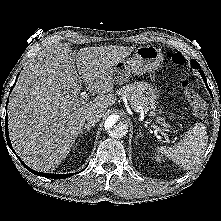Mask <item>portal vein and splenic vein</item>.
I'll list each match as a JSON object with an SVG mask.
<instances>
[{"instance_id": "18ae733b", "label": "portal vein and splenic vein", "mask_w": 221, "mask_h": 221, "mask_svg": "<svg viewBox=\"0 0 221 221\" xmlns=\"http://www.w3.org/2000/svg\"><path fill=\"white\" fill-rule=\"evenodd\" d=\"M82 97L83 98H88V95L86 93H83Z\"/></svg>"}]
</instances>
